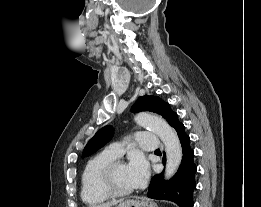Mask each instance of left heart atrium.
<instances>
[{
	"label": "left heart atrium",
	"instance_id": "obj_1",
	"mask_svg": "<svg viewBox=\"0 0 261 207\" xmlns=\"http://www.w3.org/2000/svg\"><path fill=\"white\" fill-rule=\"evenodd\" d=\"M128 173L133 187L141 186L148 175L149 167L145 158L140 154H135L127 164Z\"/></svg>",
	"mask_w": 261,
	"mask_h": 207
}]
</instances>
